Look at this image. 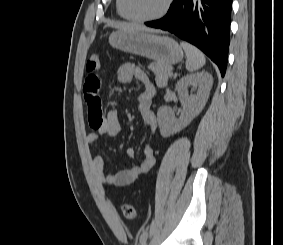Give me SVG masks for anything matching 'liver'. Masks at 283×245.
<instances>
[{
	"instance_id": "liver-1",
	"label": "liver",
	"mask_w": 283,
	"mask_h": 245,
	"mask_svg": "<svg viewBox=\"0 0 283 245\" xmlns=\"http://www.w3.org/2000/svg\"><path fill=\"white\" fill-rule=\"evenodd\" d=\"M108 26H111L113 28H116L122 31H147V32L152 31L145 27H140L138 25L130 24V23H109Z\"/></svg>"
}]
</instances>
